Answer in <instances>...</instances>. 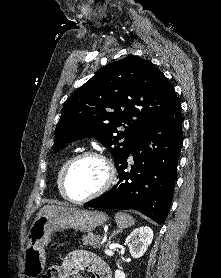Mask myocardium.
<instances>
[{
	"instance_id": "f54148a6",
	"label": "myocardium",
	"mask_w": 221,
	"mask_h": 278,
	"mask_svg": "<svg viewBox=\"0 0 221 278\" xmlns=\"http://www.w3.org/2000/svg\"><path fill=\"white\" fill-rule=\"evenodd\" d=\"M87 157L96 158L103 164L105 169V178L102 184L94 192L90 193L89 195L81 199H73L69 196L67 192V176L70 168L75 162ZM115 177H116L115 167L113 163L105 155L94 150L82 151L72 156L65 164L61 174V180H60L61 192L63 197L72 203H76V204L85 203L105 193L114 183Z\"/></svg>"
}]
</instances>
